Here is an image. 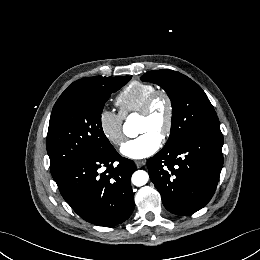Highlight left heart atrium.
Masks as SVG:
<instances>
[{
	"label": "left heart atrium",
	"instance_id": "left-heart-atrium-1",
	"mask_svg": "<svg viewBox=\"0 0 260 260\" xmlns=\"http://www.w3.org/2000/svg\"><path fill=\"white\" fill-rule=\"evenodd\" d=\"M160 146L161 136L154 132H145L126 141L121 147V153L131 159H144L153 155Z\"/></svg>",
	"mask_w": 260,
	"mask_h": 260
}]
</instances>
